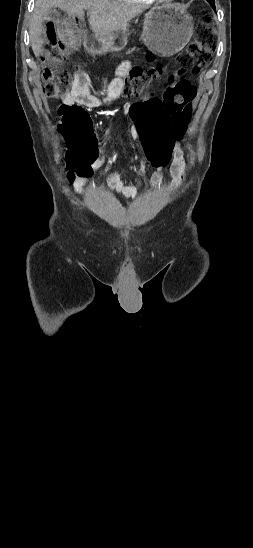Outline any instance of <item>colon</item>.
I'll use <instances>...</instances> for the list:
<instances>
[{
  "instance_id": "5ec220e1",
  "label": "colon",
  "mask_w": 253,
  "mask_h": 548,
  "mask_svg": "<svg viewBox=\"0 0 253 548\" xmlns=\"http://www.w3.org/2000/svg\"><path fill=\"white\" fill-rule=\"evenodd\" d=\"M214 40L210 27L205 24L197 32L196 38L176 57L181 71L199 73L211 60ZM71 45L67 42L55 43L42 58L44 68V94L58 98L69 93L73 80L63 68L69 57ZM179 69L172 71L173 80H163L161 88L152 89L148 98L141 96L160 68L143 72L134 68L123 79L121 91L134 104L128 118L133 133L145 144L147 156L152 166H166L171 159V148L176 137H183L192 110V100L196 90L189 76ZM166 91V92H165ZM62 133L68 148L65 161L71 178L87 176L91 173L90 164L99 155L98 141L91 128L88 113L79 105H62L59 109Z\"/></svg>"
}]
</instances>
